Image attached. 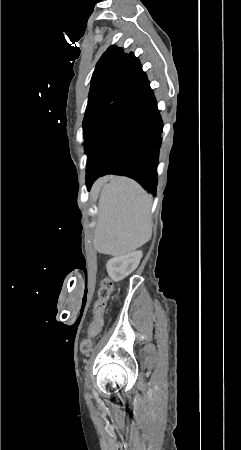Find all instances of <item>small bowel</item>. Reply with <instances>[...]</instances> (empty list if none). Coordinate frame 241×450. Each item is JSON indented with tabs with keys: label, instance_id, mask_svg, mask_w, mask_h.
Returning a JSON list of instances; mask_svg holds the SVG:
<instances>
[{
	"label": "small bowel",
	"instance_id": "obj_1",
	"mask_svg": "<svg viewBox=\"0 0 241 450\" xmlns=\"http://www.w3.org/2000/svg\"><path fill=\"white\" fill-rule=\"evenodd\" d=\"M88 331H95L97 334L101 331V330H89Z\"/></svg>",
	"mask_w": 241,
	"mask_h": 450
}]
</instances>
